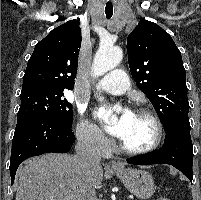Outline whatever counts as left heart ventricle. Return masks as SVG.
<instances>
[{
    "label": "left heart ventricle",
    "mask_w": 201,
    "mask_h": 200,
    "mask_svg": "<svg viewBox=\"0 0 201 200\" xmlns=\"http://www.w3.org/2000/svg\"><path fill=\"white\" fill-rule=\"evenodd\" d=\"M156 136V128L152 120L144 115L132 113L121 140L133 149L150 145Z\"/></svg>",
    "instance_id": "b2bd125f"
}]
</instances>
